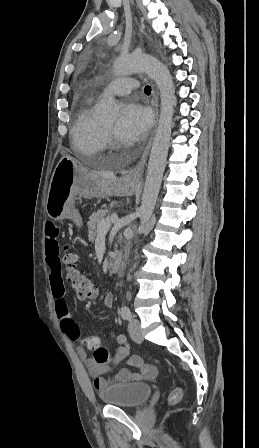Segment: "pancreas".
Returning <instances> with one entry per match:
<instances>
[{"mask_svg":"<svg viewBox=\"0 0 259 448\" xmlns=\"http://www.w3.org/2000/svg\"><path fill=\"white\" fill-rule=\"evenodd\" d=\"M107 214V210H98V212H93L92 216H90V222H88V238L90 242H94L98 234V224L101 220H104ZM115 254H117V248H115Z\"/></svg>","mask_w":259,"mask_h":448,"instance_id":"cf45deb5","label":"pancreas"}]
</instances>
